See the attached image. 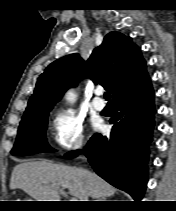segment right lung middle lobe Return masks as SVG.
<instances>
[{
  "instance_id": "right-lung-middle-lobe-1",
  "label": "right lung middle lobe",
  "mask_w": 176,
  "mask_h": 211,
  "mask_svg": "<svg viewBox=\"0 0 176 211\" xmlns=\"http://www.w3.org/2000/svg\"><path fill=\"white\" fill-rule=\"evenodd\" d=\"M44 110L32 116L22 118L18 135L11 153L26 156L41 152H54L46 142V128L49 111Z\"/></svg>"
}]
</instances>
